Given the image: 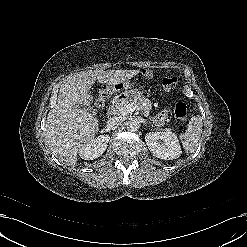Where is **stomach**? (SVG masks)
I'll return each instance as SVG.
<instances>
[{
    "label": "stomach",
    "mask_w": 247,
    "mask_h": 247,
    "mask_svg": "<svg viewBox=\"0 0 247 247\" xmlns=\"http://www.w3.org/2000/svg\"><path fill=\"white\" fill-rule=\"evenodd\" d=\"M119 85V86H118ZM132 87V84L128 81L121 82L117 84L115 87L112 88L113 91H120L122 89H125V92H123V96L130 97L133 95L134 91L133 90H127Z\"/></svg>",
    "instance_id": "0dacf381"
}]
</instances>
